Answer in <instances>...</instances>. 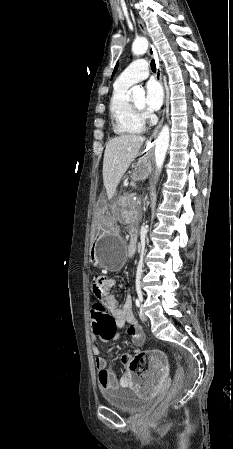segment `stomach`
<instances>
[{
  "mask_svg": "<svg viewBox=\"0 0 233 449\" xmlns=\"http://www.w3.org/2000/svg\"><path fill=\"white\" fill-rule=\"evenodd\" d=\"M150 172L147 163L134 166L131 174L133 181L144 180ZM99 210H114V201H99ZM94 221H98L97 238L91 243V257L96 266L110 271L122 268L125 260V242L116 232L117 212H94Z\"/></svg>",
  "mask_w": 233,
  "mask_h": 449,
  "instance_id": "0dacf381",
  "label": "stomach"
}]
</instances>
